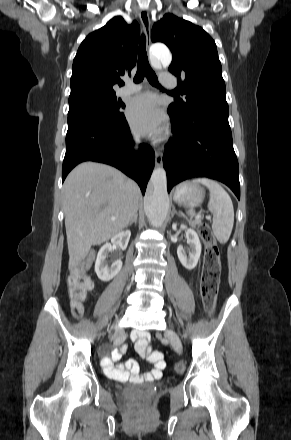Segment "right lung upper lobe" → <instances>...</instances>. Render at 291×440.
<instances>
[{
	"mask_svg": "<svg viewBox=\"0 0 291 440\" xmlns=\"http://www.w3.org/2000/svg\"><path fill=\"white\" fill-rule=\"evenodd\" d=\"M140 27L128 25L116 16L90 33L81 43L73 61L69 101L85 96L115 95L113 85L122 86L120 75H131L136 64Z\"/></svg>",
	"mask_w": 291,
	"mask_h": 440,
	"instance_id": "cb5924a9",
	"label": "right lung upper lobe"
}]
</instances>
